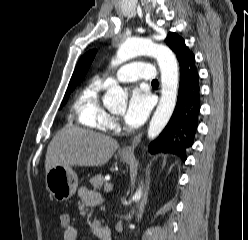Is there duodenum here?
<instances>
[{
	"instance_id": "410a0bca",
	"label": "duodenum",
	"mask_w": 248,
	"mask_h": 240,
	"mask_svg": "<svg viewBox=\"0 0 248 240\" xmlns=\"http://www.w3.org/2000/svg\"><path fill=\"white\" fill-rule=\"evenodd\" d=\"M95 233L100 240H112L111 232L106 227H101V226L96 227Z\"/></svg>"
}]
</instances>
